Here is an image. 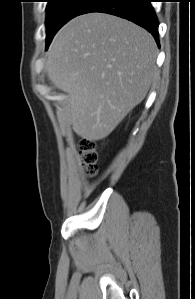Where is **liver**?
<instances>
[{
  "instance_id": "obj_1",
  "label": "liver",
  "mask_w": 195,
  "mask_h": 299,
  "mask_svg": "<svg viewBox=\"0 0 195 299\" xmlns=\"http://www.w3.org/2000/svg\"><path fill=\"white\" fill-rule=\"evenodd\" d=\"M157 47L143 28L103 13L77 16L47 53L51 83L64 93L63 118L80 137L106 138L147 95Z\"/></svg>"
}]
</instances>
